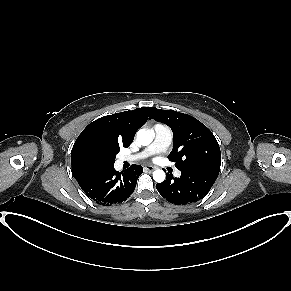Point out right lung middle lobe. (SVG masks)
<instances>
[{"mask_svg": "<svg viewBox=\"0 0 291 291\" xmlns=\"http://www.w3.org/2000/svg\"><path fill=\"white\" fill-rule=\"evenodd\" d=\"M119 151L113 146L94 143L86 148L84 158L89 166L97 170H105L114 166L116 154Z\"/></svg>", "mask_w": 291, "mask_h": 291, "instance_id": "obj_1", "label": "right lung middle lobe"}]
</instances>
